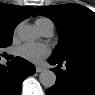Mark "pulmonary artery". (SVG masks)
Wrapping results in <instances>:
<instances>
[{"instance_id":"pulmonary-artery-1","label":"pulmonary artery","mask_w":95,"mask_h":95,"mask_svg":"<svg viewBox=\"0 0 95 95\" xmlns=\"http://www.w3.org/2000/svg\"><path fill=\"white\" fill-rule=\"evenodd\" d=\"M53 29H54L53 24H47L40 28L39 31L43 36L49 37L53 34Z\"/></svg>"}]
</instances>
